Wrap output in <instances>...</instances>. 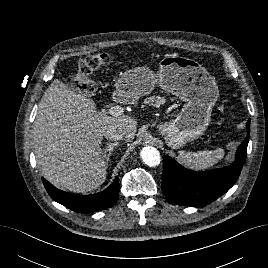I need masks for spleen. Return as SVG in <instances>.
Listing matches in <instances>:
<instances>
[{
  "mask_svg": "<svg viewBox=\"0 0 268 268\" xmlns=\"http://www.w3.org/2000/svg\"><path fill=\"white\" fill-rule=\"evenodd\" d=\"M224 154L225 152L222 148H217L213 151L199 152L179 151L178 159L188 168L204 170L221 160L224 157Z\"/></svg>",
  "mask_w": 268,
  "mask_h": 268,
  "instance_id": "spleen-1",
  "label": "spleen"
}]
</instances>
